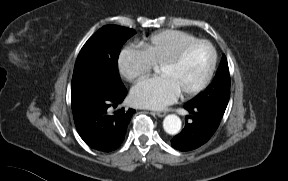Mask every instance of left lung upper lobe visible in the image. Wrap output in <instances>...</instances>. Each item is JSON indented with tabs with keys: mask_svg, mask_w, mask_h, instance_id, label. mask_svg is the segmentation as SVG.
<instances>
[{
	"mask_svg": "<svg viewBox=\"0 0 288 181\" xmlns=\"http://www.w3.org/2000/svg\"><path fill=\"white\" fill-rule=\"evenodd\" d=\"M230 97V75L225 55L222 56L213 83L198 97L191 100V105H207L225 112Z\"/></svg>",
	"mask_w": 288,
	"mask_h": 181,
	"instance_id": "obj_1",
	"label": "left lung upper lobe"
}]
</instances>
